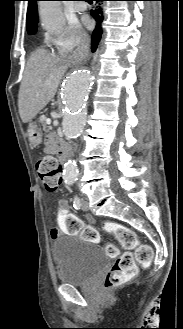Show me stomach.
<instances>
[{
    "label": "stomach",
    "instance_id": "obj_1",
    "mask_svg": "<svg viewBox=\"0 0 183 329\" xmlns=\"http://www.w3.org/2000/svg\"><path fill=\"white\" fill-rule=\"evenodd\" d=\"M27 133L31 145L36 146L41 143L42 131L36 123L34 122L29 123Z\"/></svg>",
    "mask_w": 183,
    "mask_h": 329
}]
</instances>
